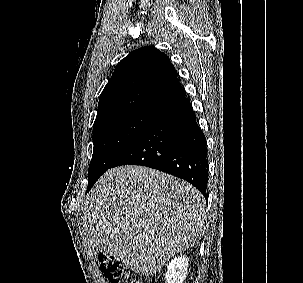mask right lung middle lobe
Segmentation results:
<instances>
[{"label":"right lung middle lobe","instance_id":"right-lung-middle-lobe-1","mask_svg":"<svg viewBox=\"0 0 303 283\" xmlns=\"http://www.w3.org/2000/svg\"><path fill=\"white\" fill-rule=\"evenodd\" d=\"M156 116L126 113L99 120L93 125V156L88 170V187L119 158Z\"/></svg>","mask_w":303,"mask_h":283}]
</instances>
